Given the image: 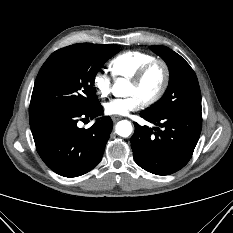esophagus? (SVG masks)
Masks as SVG:
<instances>
[{"instance_id":"1","label":"esophagus","mask_w":233,"mask_h":233,"mask_svg":"<svg viewBox=\"0 0 233 233\" xmlns=\"http://www.w3.org/2000/svg\"><path fill=\"white\" fill-rule=\"evenodd\" d=\"M111 118L113 122H117L120 119L119 116H112Z\"/></svg>"}]
</instances>
